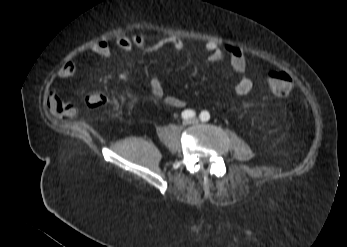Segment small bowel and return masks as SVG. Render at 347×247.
Returning <instances> with one entry per match:
<instances>
[{"mask_svg": "<svg viewBox=\"0 0 347 247\" xmlns=\"http://www.w3.org/2000/svg\"><path fill=\"white\" fill-rule=\"evenodd\" d=\"M115 44L123 51L138 50L146 54L155 53L168 47H171L175 51H181L185 46L184 41L177 37L169 36L151 39L143 33L120 35L115 39ZM204 49L207 52V57L210 62L219 63L227 60L230 70L235 75L239 76L234 85L235 93L238 95H247L251 92L253 89V80L245 75L247 62L243 52L238 47L230 45L221 46L214 41H208L204 44ZM86 50L104 59L109 58L111 55V48L105 40L92 43ZM75 73V64L73 62H68L60 68L58 74L61 78H70L74 76ZM148 86L153 96L158 99L164 97V85L159 78H151ZM164 102L167 106L172 108H182L186 104L185 100L172 95L164 97ZM47 103L51 113L57 117L72 118L77 113L72 103L63 101L56 96L50 97Z\"/></svg>", "mask_w": 347, "mask_h": 247, "instance_id": "c3829d8e", "label": "small bowel"}]
</instances>
